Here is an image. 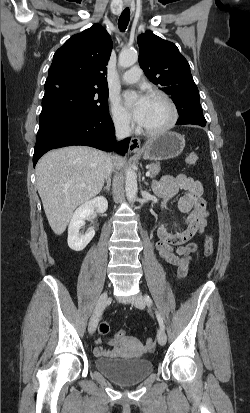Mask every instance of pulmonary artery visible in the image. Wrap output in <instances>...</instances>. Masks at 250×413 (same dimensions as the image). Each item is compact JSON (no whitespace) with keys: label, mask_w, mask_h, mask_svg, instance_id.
Wrapping results in <instances>:
<instances>
[{"label":"pulmonary artery","mask_w":250,"mask_h":413,"mask_svg":"<svg viewBox=\"0 0 250 413\" xmlns=\"http://www.w3.org/2000/svg\"><path fill=\"white\" fill-rule=\"evenodd\" d=\"M141 76V69L139 66H133L131 69L126 71L122 76V81L125 84L136 83Z\"/></svg>","instance_id":"1"}]
</instances>
